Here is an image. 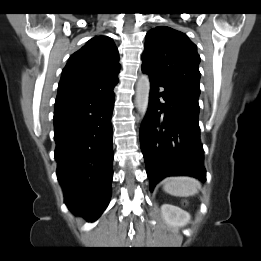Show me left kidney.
I'll return each mask as SVG.
<instances>
[{"mask_svg":"<svg viewBox=\"0 0 261 261\" xmlns=\"http://www.w3.org/2000/svg\"><path fill=\"white\" fill-rule=\"evenodd\" d=\"M161 214L165 223L175 229L187 225L191 220L188 212L171 204H163L161 206Z\"/></svg>","mask_w":261,"mask_h":261,"instance_id":"5707ae66","label":"left kidney"}]
</instances>
